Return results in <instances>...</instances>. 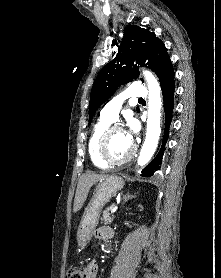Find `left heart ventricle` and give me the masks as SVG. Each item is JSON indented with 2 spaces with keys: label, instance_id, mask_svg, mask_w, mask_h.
Returning a JSON list of instances; mask_svg holds the SVG:
<instances>
[{
  "label": "left heart ventricle",
  "instance_id": "obj_1",
  "mask_svg": "<svg viewBox=\"0 0 221 278\" xmlns=\"http://www.w3.org/2000/svg\"><path fill=\"white\" fill-rule=\"evenodd\" d=\"M132 149V143L126 137L124 131L116 130L112 133L108 144V156L113 160L125 158Z\"/></svg>",
  "mask_w": 221,
  "mask_h": 278
}]
</instances>
